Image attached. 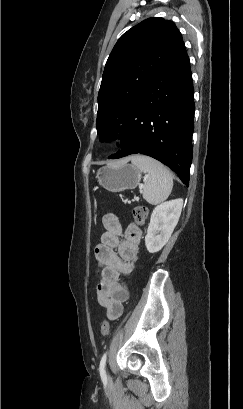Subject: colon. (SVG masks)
I'll list each match as a JSON object with an SVG mask.
<instances>
[{
	"label": "colon",
	"instance_id": "1",
	"mask_svg": "<svg viewBox=\"0 0 243 409\" xmlns=\"http://www.w3.org/2000/svg\"><path fill=\"white\" fill-rule=\"evenodd\" d=\"M147 208L145 206H137L134 208L133 216L137 223L143 224L147 216ZM110 331V322L108 320H103L100 325V334L106 336Z\"/></svg>",
	"mask_w": 243,
	"mask_h": 409
}]
</instances>
